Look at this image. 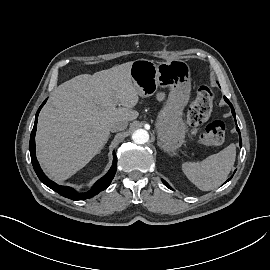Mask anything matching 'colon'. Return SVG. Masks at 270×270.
<instances>
[{"instance_id":"5ec220e1","label":"colon","mask_w":270,"mask_h":270,"mask_svg":"<svg viewBox=\"0 0 270 270\" xmlns=\"http://www.w3.org/2000/svg\"><path fill=\"white\" fill-rule=\"evenodd\" d=\"M213 99L214 92L210 87L202 85L198 88L196 97L187 112L188 123L194 131L210 116ZM224 136V123L220 120H213L207 123L199 139L203 145L210 147L220 145L224 141Z\"/></svg>"}]
</instances>
